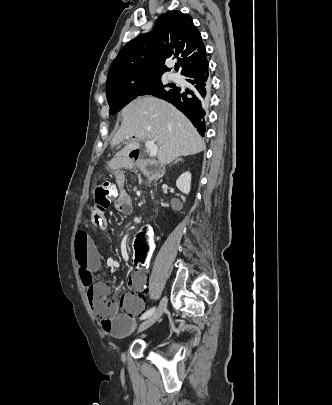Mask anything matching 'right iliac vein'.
Returning <instances> with one entry per match:
<instances>
[{"label":"right iliac vein","instance_id":"63e3f726","mask_svg":"<svg viewBox=\"0 0 332 405\" xmlns=\"http://www.w3.org/2000/svg\"><path fill=\"white\" fill-rule=\"evenodd\" d=\"M167 307V298L163 297L157 310L145 321H143L139 328H138V333L144 331L145 329L149 328L151 325H153L164 313ZM125 354L122 353V359L124 360Z\"/></svg>","mask_w":332,"mask_h":405}]
</instances>
